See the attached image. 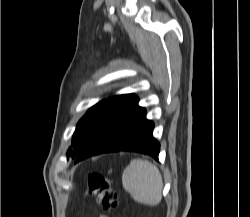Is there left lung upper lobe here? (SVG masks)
<instances>
[{"label":"left lung upper lobe","instance_id":"left-lung-upper-lobe-1","mask_svg":"<svg viewBox=\"0 0 250 217\" xmlns=\"http://www.w3.org/2000/svg\"><path fill=\"white\" fill-rule=\"evenodd\" d=\"M130 96L131 94L115 96L90 108L77 124L72 138L73 149L69 148L67 158L77 157Z\"/></svg>","mask_w":250,"mask_h":217}]
</instances>
